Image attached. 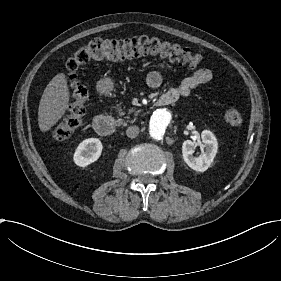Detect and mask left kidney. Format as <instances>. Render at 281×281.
Masks as SVG:
<instances>
[{
	"mask_svg": "<svg viewBox=\"0 0 281 281\" xmlns=\"http://www.w3.org/2000/svg\"><path fill=\"white\" fill-rule=\"evenodd\" d=\"M201 138L203 144H200V146L205 148V151H203L200 156H193L195 147L199 145V143L193 142L191 140H186L183 142L182 154L184 161L191 169L204 172L210 167L214 157L216 156L218 142L215 135L209 130L202 131Z\"/></svg>",
	"mask_w": 281,
	"mask_h": 281,
	"instance_id": "5707ae66",
	"label": "left kidney"
}]
</instances>
